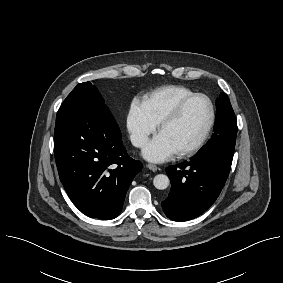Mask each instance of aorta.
<instances>
[{
	"label": "aorta",
	"instance_id": "1",
	"mask_svg": "<svg viewBox=\"0 0 283 283\" xmlns=\"http://www.w3.org/2000/svg\"><path fill=\"white\" fill-rule=\"evenodd\" d=\"M170 180L164 174H158L153 179V185L159 190H164L169 186Z\"/></svg>",
	"mask_w": 283,
	"mask_h": 283
}]
</instances>
